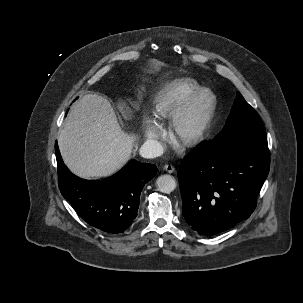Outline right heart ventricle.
<instances>
[{
  "mask_svg": "<svg viewBox=\"0 0 303 303\" xmlns=\"http://www.w3.org/2000/svg\"><path fill=\"white\" fill-rule=\"evenodd\" d=\"M200 88V84L191 78H178L168 82L154 99L153 115L155 119L163 122L171 118Z\"/></svg>",
  "mask_w": 303,
  "mask_h": 303,
  "instance_id": "e07e8e85",
  "label": "right heart ventricle"
}]
</instances>
